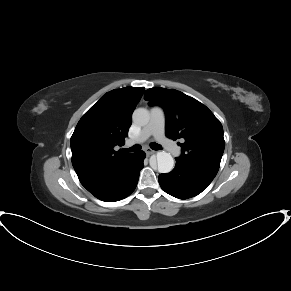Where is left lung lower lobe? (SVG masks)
<instances>
[{
  "label": "left lung lower lobe",
  "mask_w": 291,
  "mask_h": 291,
  "mask_svg": "<svg viewBox=\"0 0 291 291\" xmlns=\"http://www.w3.org/2000/svg\"><path fill=\"white\" fill-rule=\"evenodd\" d=\"M218 169L176 158L175 168L158 177L161 188L169 195L187 199L201 193L214 179Z\"/></svg>",
  "instance_id": "obj_1"
}]
</instances>
